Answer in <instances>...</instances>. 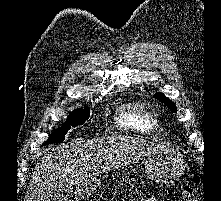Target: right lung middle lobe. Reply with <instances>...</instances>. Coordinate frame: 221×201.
I'll use <instances>...</instances> for the list:
<instances>
[{"label":"right lung middle lobe","instance_id":"right-lung-middle-lobe-1","mask_svg":"<svg viewBox=\"0 0 221 201\" xmlns=\"http://www.w3.org/2000/svg\"><path fill=\"white\" fill-rule=\"evenodd\" d=\"M80 110L81 109H78L71 113L64 125L53 132L43 145L62 142L65 139V134L71 128V126L76 127L83 124L89 118L90 110L86 107L83 110Z\"/></svg>","mask_w":221,"mask_h":201}]
</instances>
